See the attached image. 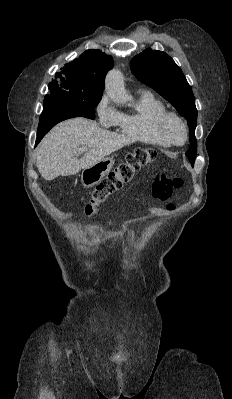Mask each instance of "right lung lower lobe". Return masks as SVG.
<instances>
[{
    "mask_svg": "<svg viewBox=\"0 0 232 399\" xmlns=\"http://www.w3.org/2000/svg\"><path fill=\"white\" fill-rule=\"evenodd\" d=\"M74 117H86L94 119L87 114L70 110L60 105H43V112L40 115L36 145L45 136V134L57 123Z\"/></svg>",
    "mask_w": 232,
    "mask_h": 399,
    "instance_id": "1",
    "label": "right lung lower lobe"
}]
</instances>
